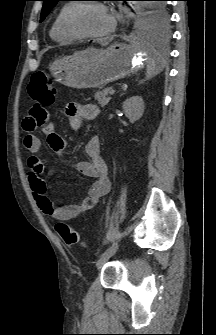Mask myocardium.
<instances>
[{
	"instance_id": "obj_1",
	"label": "myocardium",
	"mask_w": 216,
	"mask_h": 335,
	"mask_svg": "<svg viewBox=\"0 0 216 335\" xmlns=\"http://www.w3.org/2000/svg\"><path fill=\"white\" fill-rule=\"evenodd\" d=\"M86 5H96L100 8H102L110 17L111 19V24L110 27L104 31V32H100V33H89V32H83L81 30H79L75 24H74V14L75 12ZM62 27L63 30L65 31V33H67L68 35L76 38V39H97V38H102L105 37L107 35H109L111 32H113V30L116 27V20L115 18L110 14L109 10L107 9V7L98 1H89V2H76L71 4L67 11L65 12L63 19H62Z\"/></svg>"
}]
</instances>
